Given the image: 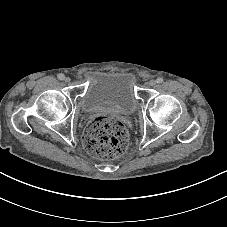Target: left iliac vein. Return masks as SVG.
Returning a JSON list of instances; mask_svg holds the SVG:
<instances>
[{
	"mask_svg": "<svg viewBox=\"0 0 227 227\" xmlns=\"http://www.w3.org/2000/svg\"><path fill=\"white\" fill-rule=\"evenodd\" d=\"M148 84H149V86H151V87H152V86H155V85H156V80H150Z\"/></svg>",
	"mask_w": 227,
	"mask_h": 227,
	"instance_id": "4c4485c4",
	"label": "left iliac vein"
}]
</instances>
